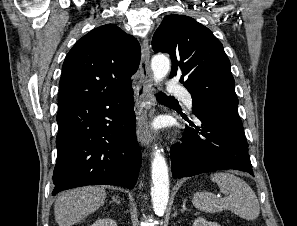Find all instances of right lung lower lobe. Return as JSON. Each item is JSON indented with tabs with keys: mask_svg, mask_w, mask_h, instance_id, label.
Listing matches in <instances>:
<instances>
[{
	"mask_svg": "<svg viewBox=\"0 0 297 226\" xmlns=\"http://www.w3.org/2000/svg\"><path fill=\"white\" fill-rule=\"evenodd\" d=\"M57 122L53 195L86 185L134 187L141 153L133 90L59 105Z\"/></svg>",
	"mask_w": 297,
	"mask_h": 226,
	"instance_id": "obj_1",
	"label": "right lung lower lobe"
}]
</instances>
